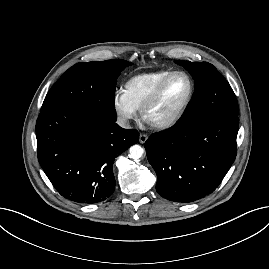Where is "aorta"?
I'll list each match as a JSON object with an SVG mask.
<instances>
[{"label":"aorta","mask_w":269,"mask_h":269,"mask_svg":"<svg viewBox=\"0 0 269 269\" xmlns=\"http://www.w3.org/2000/svg\"><path fill=\"white\" fill-rule=\"evenodd\" d=\"M129 153H130L129 157L136 161V160H139L143 156L144 150L139 145H133L130 147Z\"/></svg>","instance_id":"aorta-1"}]
</instances>
